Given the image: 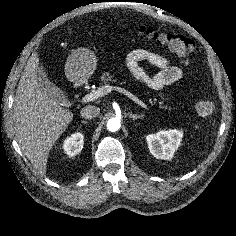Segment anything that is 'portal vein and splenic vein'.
<instances>
[{"label": "portal vein and splenic vein", "mask_w": 236, "mask_h": 236, "mask_svg": "<svg viewBox=\"0 0 236 236\" xmlns=\"http://www.w3.org/2000/svg\"><path fill=\"white\" fill-rule=\"evenodd\" d=\"M112 90H115L119 93H122L124 95H126L128 98H130L131 100H133L135 103H137L138 105H140L141 107L148 109L147 105L145 103H143L138 97H136L133 93L129 92L128 90L118 87V86H112V85H104L102 87H100L98 90L93 91L87 95H85L81 102L82 103H88L91 101H94L100 97H103L105 95H107L108 93H110Z\"/></svg>", "instance_id": "1"}]
</instances>
